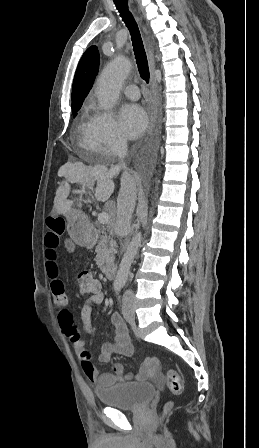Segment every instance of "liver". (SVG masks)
Segmentation results:
<instances>
[{"mask_svg": "<svg viewBox=\"0 0 259 448\" xmlns=\"http://www.w3.org/2000/svg\"><path fill=\"white\" fill-rule=\"evenodd\" d=\"M58 174L59 176H65V180L57 188L54 198V208L58 214H68L72 210L74 202L67 200L70 194L69 182H81V184H84L90 190H92L94 182H97L96 190H102L103 194H105L104 200H108L111 194L110 190L114 186L111 178L115 174H113L112 170L104 174L101 170H96V168H91V166H84L82 162L66 164L65 168H62ZM77 206L78 208H82L81 202H78Z\"/></svg>", "mask_w": 259, "mask_h": 448, "instance_id": "1", "label": "liver"}]
</instances>
